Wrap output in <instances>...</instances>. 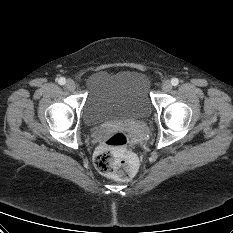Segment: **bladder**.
<instances>
[{"label":"bladder","mask_w":233,"mask_h":233,"mask_svg":"<svg viewBox=\"0 0 233 233\" xmlns=\"http://www.w3.org/2000/svg\"><path fill=\"white\" fill-rule=\"evenodd\" d=\"M151 81L140 70H101L86 80L82 109L85 123L96 127L105 122L145 119L152 113Z\"/></svg>","instance_id":"obj_1"}]
</instances>
